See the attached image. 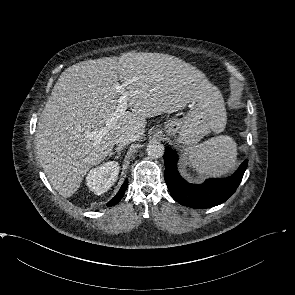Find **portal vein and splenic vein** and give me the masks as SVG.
I'll list each match as a JSON object with an SVG mask.
<instances>
[{
	"label": "portal vein and splenic vein",
	"mask_w": 295,
	"mask_h": 295,
	"mask_svg": "<svg viewBox=\"0 0 295 295\" xmlns=\"http://www.w3.org/2000/svg\"><path fill=\"white\" fill-rule=\"evenodd\" d=\"M125 85L126 84H122V85L118 84V85H116L115 88L118 92L123 93L122 90L125 87ZM127 105H128L127 97L125 94H122L120 96L116 111L114 112V114L112 116H110L106 119V126L99 128V129L92 131V132H87L86 135L89 138L94 139L97 143L100 142V140L107 134L108 129L110 127H112L116 123V121L119 120L124 115V113L127 110Z\"/></svg>",
	"instance_id": "obj_1"
}]
</instances>
